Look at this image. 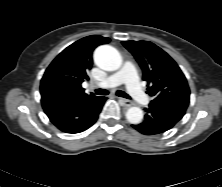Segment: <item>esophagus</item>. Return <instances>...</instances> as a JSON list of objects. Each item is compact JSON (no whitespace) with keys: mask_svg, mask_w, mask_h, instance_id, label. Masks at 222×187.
<instances>
[{"mask_svg":"<svg viewBox=\"0 0 222 187\" xmlns=\"http://www.w3.org/2000/svg\"><path fill=\"white\" fill-rule=\"evenodd\" d=\"M119 101L126 107H131L133 102L127 99L119 98Z\"/></svg>","mask_w":222,"mask_h":187,"instance_id":"esophagus-1","label":"esophagus"}]
</instances>
